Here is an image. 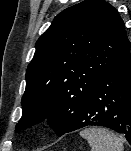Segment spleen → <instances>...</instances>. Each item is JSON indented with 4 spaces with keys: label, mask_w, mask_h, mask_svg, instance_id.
<instances>
[{
    "label": "spleen",
    "mask_w": 131,
    "mask_h": 151,
    "mask_svg": "<svg viewBox=\"0 0 131 151\" xmlns=\"http://www.w3.org/2000/svg\"><path fill=\"white\" fill-rule=\"evenodd\" d=\"M91 151H123V142L112 132L103 128H88L80 132Z\"/></svg>",
    "instance_id": "obj_1"
}]
</instances>
